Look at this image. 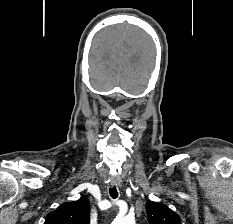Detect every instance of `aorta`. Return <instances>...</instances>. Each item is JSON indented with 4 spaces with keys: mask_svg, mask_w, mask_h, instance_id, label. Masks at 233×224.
Listing matches in <instances>:
<instances>
[{
    "mask_svg": "<svg viewBox=\"0 0 233 224\" xmlns=\"http://www.w3.org/2000/svg\"><path fill=\"white\" fill-rule=\"evenodd\" d=\"M113 224H135V220L129 216H118L113 221Z\"/></svg>",
    "mask_w": 233,
    "mask_h": 224,
    "instance_id": "obj_1",
    "label": "aorta"
}]
</instances>
